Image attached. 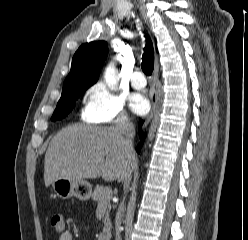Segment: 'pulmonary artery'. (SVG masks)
I'll use <instances>...</instances> for the list:
<instances>
[{"mask_svg": "<svg viewBox=\"0 0 248 240\" xmlns=\"http://www.w3.org/2000/svg\"><path fill=\"white\" fill-rule=\"evenodd\" d=\"M131 84L136 89H141L146 85L144 74L141 71H134L131 74Z\"/></svg>", "mask_w": 248, "mask_h": 240, "instance_id": "e3ab8cb5", "label": "pulmonary artery"}]
</instances>
